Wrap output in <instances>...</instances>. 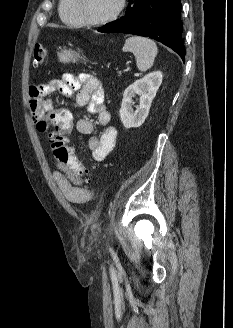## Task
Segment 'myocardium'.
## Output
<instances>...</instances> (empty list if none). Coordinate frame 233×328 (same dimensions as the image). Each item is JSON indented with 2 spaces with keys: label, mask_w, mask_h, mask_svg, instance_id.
Here are the masks:
<instances>
[{
  "label": "myocardium",
  "mask_w": 233,
  "mask_h": 328,
  "mask_svg": "<svg viewBox=\"0 0 233 328\" xmlns=\"http://www.w3.org/2000/svg\"><path fill=\"white\" fill-rule=\"evenodd\" d=\"M125 7H126V0H119L116 10L110 16L101 20L93 21L85 18V16L83 15L82 0H75V13L79 21L82 23V25L89 26V27H98L113 22L123 13Z\"/></svg>",
  "instance_id": "myocardium-1"
}]
</instances>
